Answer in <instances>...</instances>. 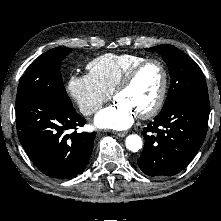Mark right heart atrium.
<instances>
[{
    "instance_id": "obj_1",
    "label": "right heart atrium",
    "mask_w": 221,
    "mask_h": 221,
    "mask_svg": "<svg viewBox=\"0 0 221 221\" xmlns=\"http://www.w3.org/2000/svg\"><path fill=\"white\" fill-rule=\"evenodd\" d=\"M66 89L79 111L85 116L95 114L111 97V93L89 73L71 75Z\"/></svg>"
}]
</instances>
